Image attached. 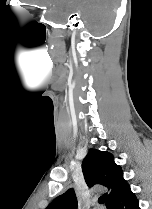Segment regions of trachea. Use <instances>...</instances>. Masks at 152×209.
Here are the masks:
<instances>
[{
	"label": "trachea",
	"mask_w": 152,
	"mask_h": 209,
	"mask_svg": "<svg viewBox=\"0 0 152 209\" xmlns=\"http://www.w3.org/2000/svg\"><path fill=\"white\" fill-rule=\"evenodd\" d=\"M98 202L100 204H103L105 202V197L104 196H100L99 199H98Z\"/></svg>",
	"instance_id": "3493384b"
}]
</instances>
